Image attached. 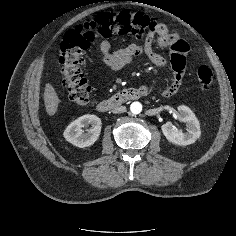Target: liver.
Listing matches in <instances>:
<instances>
[{"mask_svg":"<svg viewBox=\"0 0 236 236\" xmlns=\"http://www.w3.org/2000/svg\"><path fill=\"white\" fill-rule=\"evenodd\" d=\"M44 103L47 114L53 116L57 112L60 99L50 83L45 86Z\"/></svg>","mask_w":236,"mask_h":236,"instance_id":"liver-1","label":"liver"}]
</instances>
